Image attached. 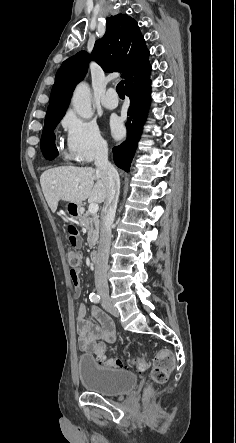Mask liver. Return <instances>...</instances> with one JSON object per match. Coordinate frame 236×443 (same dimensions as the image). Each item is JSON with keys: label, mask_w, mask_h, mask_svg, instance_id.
Returning <instances> with one entry per match:
<instances>
[{"label": "liver", "mask_w": 236, "mask_h": 443, "mask_svg": "<svg viewBox=\"0 0 236 443\" xmlns=\"http://www.w3.org/2000/svg\"><path fill=\"white\" fill-rule=\"evenodd\" d=\"M40 184L53 213L60 200L82 204L89 199L91 203H102L107 197L105 182L91 167L52 168L42 173Z\"/></svg>", "instance_id": "obj_1"}]
</instances>
